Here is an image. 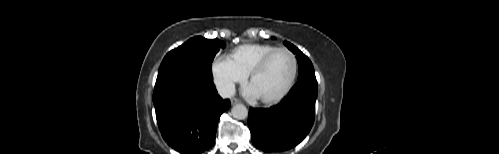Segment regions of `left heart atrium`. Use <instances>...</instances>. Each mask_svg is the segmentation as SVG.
Here are the masks:
<instances>
[{"instance_id":"39dd6f15","label":"left heart atrium","mask_w":499,"mask_h":154,"mask_svg":"<svg viewBox=\"0 0 499 154\" xmlns=\"http://www.w3.org/2000/svg\"><path fill=\"white\" fill-rule=\"evenodd\" d=\"M243 95L249 99L259 98L251 84H249L243 88Z\"/></svg>"}]
</instances>
